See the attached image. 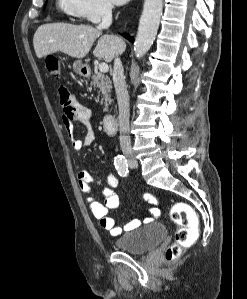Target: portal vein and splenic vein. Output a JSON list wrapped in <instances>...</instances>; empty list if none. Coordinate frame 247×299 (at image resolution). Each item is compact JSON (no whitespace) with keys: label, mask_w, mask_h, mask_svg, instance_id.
<instances>
[{"label":"portal vein and splenic vein","mask_w":247,"mask_h":299,"mask_svg":"<svg viewBox=\"0 0 247 299\" xmlns=\"http://www.w3.org/2000/svg\"><path fill=\"white\" fill-rule=\"evenodd\" d=\"M108 70H109V67L106 63H100L99 64V71L101 73H106V72H108Z\"/></svg>","instance_id":"18ae733b"}]
</instances>
